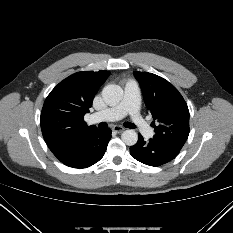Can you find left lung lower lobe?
Returning <instances> with one entry per match:
<instances>
[{
  "mask_svg": "<svg viewBox=\"0 0 233 233\" xmlns=\"http://www.w3.org/2000/svg\"><path fill=\"white\" fill-rule=\"evenodd\" d=\"M138 136V142L130 147V154L133 158L146 165H163L174 159L180 152V149L157 142L153 139L144 141L141 134Z\"/></svg>",
  "mask_w": 233,
  "mask_h": 233,
  "instance_id": "left-lung-lower-lobe-1",
  "label": "left lung lower lobe"
}]
</instances>
